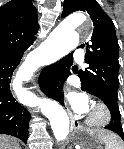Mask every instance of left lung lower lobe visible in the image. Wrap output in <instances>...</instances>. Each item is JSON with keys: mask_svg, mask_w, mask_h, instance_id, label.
<instances>
[{"mask_svg": "<svg viewBox=\"0 0 124 149\" xmlns=\"http://www.w3.org/2000/svg\"><path fill=\"white\" fill-rule=\"evenodd\" d=\"M73 64V52L60 59L56 63L46 66L40 74L39 84L43 92L50 98L63 102L62 84L67 76L71 74ZM81 89L101 99L111 112V121L106 128L117 135L124 141V133L121 125L120 113L117 110V102L108 94L93 88L81 85Z\"/></svg>", "mask_w": 124, "mask_h": 149, "instance_id": "obj_1", "label": "left lung lower lobe"}]
</instances>
